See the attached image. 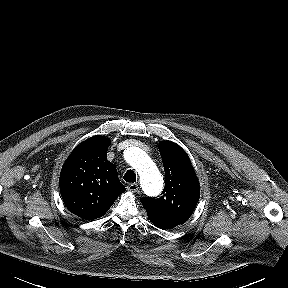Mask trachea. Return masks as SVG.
Here are the masks:
<instances>
[{
	"label": "trachea",
	"instance_id": "obj_1",
	"mask_svg": "<svg viewBox=\"0 0 288 288\" xmlns=\"http://www.w3.org/2000/svg\"><path fill=\"white\" fill-rule=\"evenodd\" d=\"M123 178L126 182H129V183L136 182V174L133 170H127Z\"/></svg>",
	"mask_w": 288,
	"mask_h": 288
}]
</instances>
